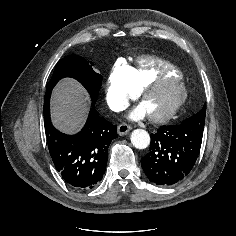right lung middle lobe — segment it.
I'll use <instances>...</instances> for the list:
<instances>
[{
    "label": "right lung middle lobe",
    "mask_w": 236,
    "mask_h": 236,
    "mask_svg": "<svg viewBox=\"0 0 236 236\" xmlns=\"http://www.w3.org/2000/svg\"><path fill=\"white\" fill-rule=\"evenodd\" d=\"M64 77H71L80 82L90 94L92 103L95 104L101 87L102 76L96 73L83 57L68 55L56 65L51 80L47 84L44 105L49 104L52 89Z\"/></svg>",
    "instance_id": "1"
}]
</instances>
